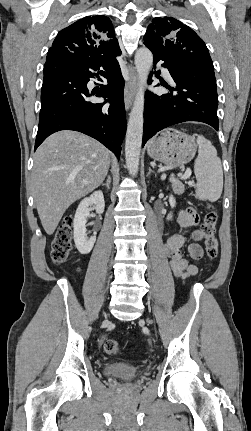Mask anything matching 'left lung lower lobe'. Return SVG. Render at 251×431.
Masks as SVG:
<instances>
[{
	"instance_id": "left-lung-lower-lobe-1",
	"label": "left lung lower lobe",
	"mask_w": 251,
	"mask_h": 431,
	"mask_svg": "<svg viewBox=\"0 0 251 431\" xmlns=\"http://www.w3.org/2000/svg\"><path fill=\"white\" fill-rule=\"evenodd\" d=\"M148 48L153 53L154 66L163 61L162 66L169 70L176 86L161 84L170 92L161 96L147 94L142 147L158 131L181 122H204L218 131V97L214 70L183 65L173 56ZM151 82L149 79V83Z\"/></svg>"
}]
</instances>
